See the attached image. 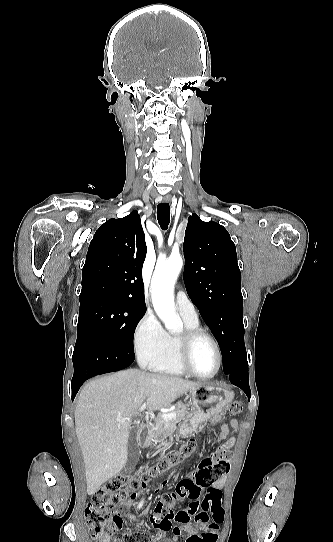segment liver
Returning a JSON list of instances; mask_svg holds the SVG:
<instances>
[{"instance_id":"6515ba94","label":"liver","mask_w":333,"mask_h":542,"mask_svg":"<svg viewBox=\"0 0 333 542\" xmlns=\"http://www.w3.org/2000/svg\"><path fill=\"white\" fill-rule=\"evenodd\" d=\"M199 386V382L142 370H124L88 382L74 414L88 496H94L124 468L131 420L142 404H147L148 412L168 408L176 398ZM116 418L129 420L116 422Z\"/></svg>"}]
</instances>
